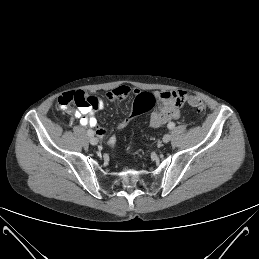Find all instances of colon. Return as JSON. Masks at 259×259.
I'll use <instances>...</instances> for the list:
<instances>
[{"instance_id": "obj_1", "label": "colon", "mask_w": 259, "mask_h": 259, "mask_svg": "<svg viewBox=\"0 0 259 259\" xmlns=\"http://www.w3.org/2000/svg\"><path fill=\"white\" fill-rule=\"evenodd\" d=\"M155 103L156 98L154 95L150 93H139L133 102L132 113L120 122L119 128H125L134 117L151 110L155 106ZM188 104L200 113L206 110L204 102L199 97H189Z\"/></svg>"}]
</instances>
